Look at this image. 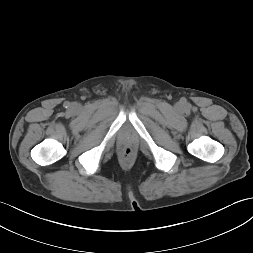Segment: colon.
Masks as SVG:
<instances>
[{
  "label": "colon",
  "instance_id": "obj_1",
  "mask_svg": "<svg viewBox=\"0 0 253 253\" xmlns=\"http://www.w3.org/2000/svg\"><path fill=\"white\" fill-rule=\"evenodd\" d=\"M121 154H122L123 158L129 159L133 155V149L130 147H125L122 149Z\"/></svg>",
  "mask_w": 253,
  "mask_h": 253
}]
</instances>
